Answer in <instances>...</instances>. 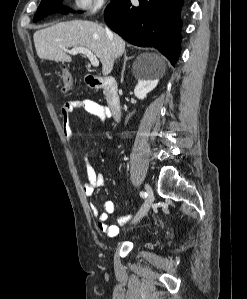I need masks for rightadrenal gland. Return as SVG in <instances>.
<instances>
[{
	"instance_id": "obj_1",
	"label": "right adrenal gland",
	"mask_w": 247,
	"mask_h": 299,
	"mask_svg": "<svg viewBox=\"0 0 247 299\" xmlns=\"http://www.w3.org/2000/svg\"><path fill=\"white\" fill-rule=\"evenodd\" d=\"M134 58V56H127V53H124V63H123V68H122V72H121V77L123 78L124 76V72H125V66H126V62L130 59Z\"/></svg>"
}]
</instances>
